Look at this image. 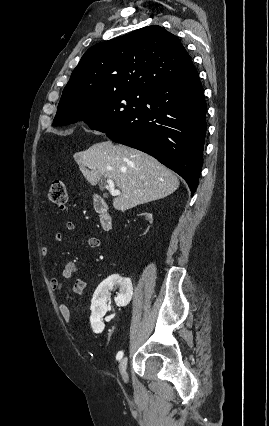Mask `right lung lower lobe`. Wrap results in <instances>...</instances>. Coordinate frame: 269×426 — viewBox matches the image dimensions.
I'll list each match as a JSON object with an SVG mask.
<instances>
[{"instance_id": "98d812e1", "label": "right lung lower lobe", "mask_w": 269, "mask_h": 426, "mask_svg": "<svg viewBox=\"0 0 269 426\" xmlns=\"http://www.w3.org/2000/svg\"><path fill=\"white\" fill-rule=\"evenodd\" d=\"M206 112L203 88L194 68L149 90L144 106L106 135L155 157L182 176L193 195L202 169Z\"/></svg>"}]
</instances>
